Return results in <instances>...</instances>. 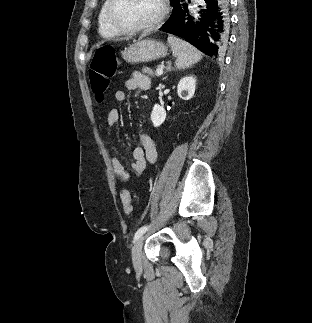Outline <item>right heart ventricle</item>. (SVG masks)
I'll use <instances>...</instances> for the list:
<instances>
[{"label": "right heart ventricle", "instance_id": "e07e8e85", "mask_svg": "<svg viewBox=\"0 0 312 323\" xmlns=\"http://www.w3.org/2000/svg\"><path fill=\"white\" fill-rule=\"evenodd\" d=\"M108 5H99L96 13L93 14L97 33H115L116 23L110 18Z\"/></svg>", "mask_w": 312, "mask_h": 323}]
</instances>
